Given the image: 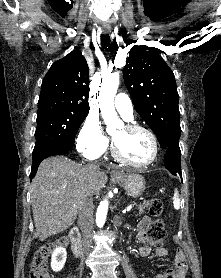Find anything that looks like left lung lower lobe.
<instances>
[{"mask_svg": "<svg viewBox=\"0 0 221 278\" xmlns=\"http://www.w3.org/2000/svg\"><path fill=\"white\" fill-rule=\"evenodd\" d=\"M164 163L166 168L174 175L181 173V152L179 147H170L166 149Z\"/></svg>", "mask_w": 221, "mask_h": 278, "instance_id": "obj_1", "label": "left lung lower lobe"}]
</instances>
